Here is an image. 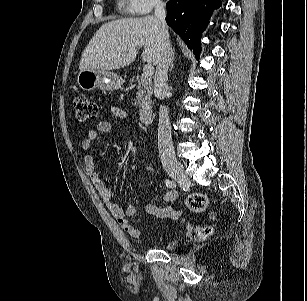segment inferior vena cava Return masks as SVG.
<instances>
[{"label": "inferior vena cava", "instance_id": "obj_1", "mask_svg": "<svg viewBox=\"0 0 307 301\" xmlns=\"http://www.w3.org/2000/svg\"><path fill=\"white\" fill-rule=\"evenodd\" d=\"M154 15L161 25V49L154 76V94L158 99L162 100L168 94V69L172 61V49L170 47L169 32L165 21L166 10L163 3L156 4ZM158 149L161 157L174 155L168 108L162 105L159 108Z\"/></svg>", "mask_w": 307, "mask_h": 301}]
</instances>
